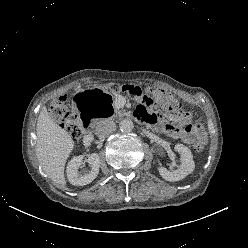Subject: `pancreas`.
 Returning <instances> with one entry per match:
<instances>
[{
    "mask_svg": "<svg viewBox=\"0 0 248 248\" xmlns=\"http://www.w3.org/2000/svg\"><path fill=\"white\" fill-rule=\"evenodd\" d=\"M117 113H118V114H120V113H121V111H120V110H117Z\"/></svg>",
    "mask_w": 248,
    "mask_h": 248,
    "instance_id": "cf45deb5",
    "label": "pancreas"
}]
</instances>
